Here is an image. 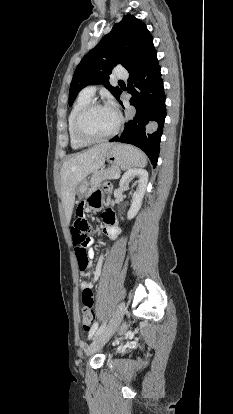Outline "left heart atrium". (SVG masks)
I'll use <instances>...</instances> for the list:
<instances>
[{"mask_svg":"<svg viewBox=\"0 0 233 414\" xmlns=\"http://www.w3.org/2000/svg\"><path fill=\"white\" fill-rule=\"evenodd\" d=\"M109 108H110L111 110L115 111V107H114V105H113V104H110V105H109Z\"/></svg>","mask_w":233,"mask_h":414,"instance_id":"left-heart-atrium-1","label":"left heart atrium"}]
</instances>
